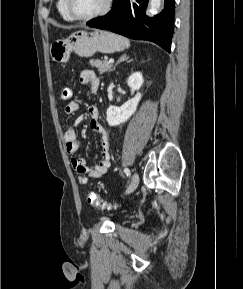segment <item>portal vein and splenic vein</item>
Here are the masks:
<instances>
[{
	"label": "portal vein and splenic vein",
	"mask_w": 243,
	"mask_h": 289,
	"mask_svg": "<svg viewBox=\"0 0 243 289\" xmlns=\"http://www.w3.org/2000/svg\"><path fill=\"white\" fill-rule=\"evenodd\" d=\"M109 63H114V59H110V60H109Z\"/></svg>",
	"instance_id": "portal-vein-and-splenic-vein-1"
}]
</instances>
